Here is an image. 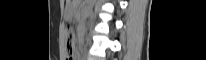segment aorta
Listing matches in <instances>:
<instances>
[{"mask_svg":"<svg viewBox=\"0 0 206 60\" xmlns=\"http://www.w3.org/2000/svg\"><path fill=\"white\" fill-rule=\"evenodd\" d=\"M95 0H88L86 12L89 15L92 12Z\"/></svg>","mask_w":206,"mask_h":60,"instance_id":"obj_1","label":"aorta"}]
</instances>
